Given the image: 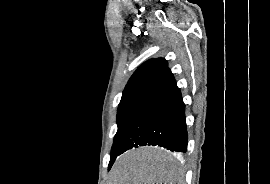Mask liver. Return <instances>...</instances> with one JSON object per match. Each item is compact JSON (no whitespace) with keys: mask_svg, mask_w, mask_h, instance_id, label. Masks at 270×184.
<instances>
[{"mask_svg":"<svg viewBox=\"0 0 270 184\" xmlns=\"http://www.w3.org/2000/svg\"><path fill=\"white\" fill-rule=\"evenodd\" d=\"M171 160L157 147L133 149L117 158L109 184H184L182 171L169 163Z\"/></svg>","mask_w":270,"mask_h":184,"instance_id":"1","label":"liver"}]
</instances>
